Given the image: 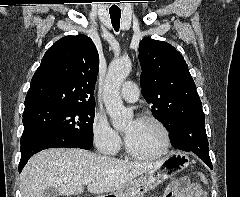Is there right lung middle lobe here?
<instances>
[{
	"label": "right lung middle lobe",
	"mask_w": 240,
	"mask_h": 197,
	"mask_svg": "<svg viewBox=\"0 0 240 197\" xmlns=\"http://www.w3.org/2000/svg\"><path fill=\"white\" fill-rule=\"evenodd\" d=\"M95 106L47 105L24 111V132L30 136H54L81 149L92 147Z\"/></svg>",
	"instance_id": "obj_1"
}]
</instances>
